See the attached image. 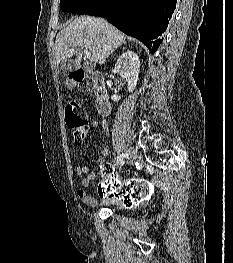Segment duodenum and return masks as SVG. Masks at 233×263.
<instances>
[{"mask_svg":"<svg viewBox=\"0 0 233 263\" xmlns=\"http://www.w3.org/2000/svg\"><path fill=\"white\" fill-rule=\"evenodd\" d=\"M71 79L76 84L91 81L95 89L93 97L95 98L96 113L102 117L110 114L111 104L105 87L104 77L101 73L91 69L79 68L72 73Z\"/></svg>","mask_w":233,"mask_h":263,"instance_id":"obj_1","label":"duodenum"}]
</instances>
